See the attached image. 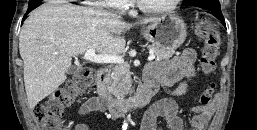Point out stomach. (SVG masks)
Masks as SVG:
<instances>
[{
  "label": "stomach",
  "instance_id": "1",
  "mask_svg": "<svg viewBox=\"0 0 257 130\" xmlns=\"http://www.w3.org/2000/svg\"><path fill=\"white\" fill-rule=\"evenodd\" d=\"M143 35L157 47L176 49L185 41L187 27L184 20L179 16L168 14L143 27Z\"/></svg>",
  "mask_w": 257,
  "mask_h": 130
}]
</instances>
